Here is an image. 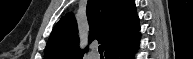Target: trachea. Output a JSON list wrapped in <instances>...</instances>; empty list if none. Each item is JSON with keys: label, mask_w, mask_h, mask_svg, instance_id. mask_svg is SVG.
Returning a JSON list of instances; mask_svg holds the SVG:
<instances>
[{"label": "trachea", "mask_w": 193, "mask_h": 59, "mask_svg": "<svg viewBox=\"0 0 193 59\" xmlns=\"http://www.w3.org/2000/svg\"><path fill=\"white\" fill-rule=\"evenodd\" d=\"M98 51H99L100 54H103V52H104V46H103L102 44L99 45Z\"/></svg>", "instance_id": "trachea-1"}]
</instances>
